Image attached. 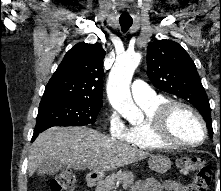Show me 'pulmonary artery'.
I'll list each match as a JSON object with an SVG mask.
<instances>
[{
    "label": "pulmonary artery",
    "instance_id": "1",
    "mask_svg": "<svg viewBox=\"0 0 221 191\" xmlns=\"http://www.w3.org/2000/svg\"><path fill=\"white\" fill-rule=\"evenodd\" d=\"M133 99L139 103H147L157 97L155 91L144 81L136 79L131 85Z\"/></svg>",
    "mask_w": 221,
    "mask_h": 191
}]
</instances>
